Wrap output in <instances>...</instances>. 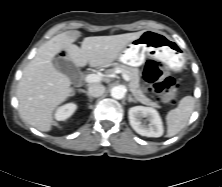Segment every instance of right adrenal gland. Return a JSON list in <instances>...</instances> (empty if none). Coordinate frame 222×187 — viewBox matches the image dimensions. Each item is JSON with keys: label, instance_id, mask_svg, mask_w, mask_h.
<instances>
[{"label": "right adrenal gland", "instance_id": "right-adrenal-gland-1", "mask_svg": "<svg viewBox=\"0 0 222 187\" xmlns=\"http://www.w3.org/2000/svg\"><path fill=\"white\" fill-rule=\"evenodd\" d=\"M84 93L88 96L90 101L93 100V98L90 96V94L88 92L84 91Z\"/></svg>", "mask_w": 222, "mask_h": 187}]
</instances>
